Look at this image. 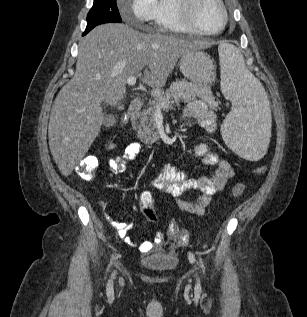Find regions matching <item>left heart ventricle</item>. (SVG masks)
Returning a JSON list of instances; mask_svg holds the SVG:
<instances>
[{"label": "left heart ventricle", "mask_w": 307, "mask_h": 317, "mask_svg": "<svg viewBox=\"0 0 307 317\" xmlns=\"http://www.w3.org/2000/svg\"><path fill=\"white\" fill-rule=\"evenodd\" d=\"M197 25L205 31L217 30L222 23V11L215 0H200L195 9Z\"/></svg>", "instance_id": "1"}]
</instances>
